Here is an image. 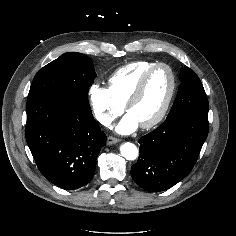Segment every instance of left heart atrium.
Here are the masks:
<instances>
[{
  "label": "left heart atrium",
  "mask_w": 236,
  "mask_h": 236,
  "mask_svg": "<svg viewBox=\"0 0 236 236\" xmlns=\"http://www.w3.org/2000/svg\"><path fill=\"white\" fill-rule=\"evenodd\" d=\"M139 125L140 123L138 120L132 114L128 113L117 124L116 131L119 134H130L134 132L139 127Z\"/></svg>",
  "instance_id": "left-heart-atrium-1"
}]
</instances>
